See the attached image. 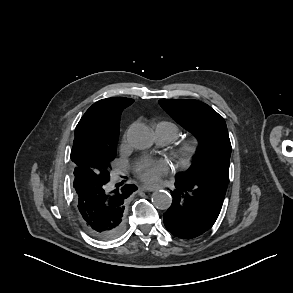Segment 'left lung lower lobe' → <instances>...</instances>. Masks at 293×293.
Segmentation results:
<instances>
[{"label":"left lung lower lobe","instance_id":"obj_1","mask_svg":"<svg viewBox=\"0 0 293 293\" xmlns=\"http://www.w3.org/2000/svg\"><path fill=\"white\" fill-rule=\"evenodd\" d=\"M173 202L164 213L166 229L182 239H192L207 231L217 220L226 189L176 178L171 191Z\"/></svg>","mask_w":293,"mask_h":293}]
</instances>
